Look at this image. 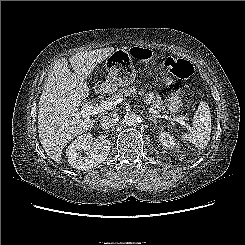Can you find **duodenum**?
<instances>
[{"label":"duodenum","instance_id":"1","mask_svg":"<svg viewBox=\"0 0 245 245\" xmlns=\"http://www.w3.org/2000/svg\"><path fill=\"white\" fill-rule=\"evenodd\" d=\"M96 91H97V92H101V91H102V87H97V88H96Z\"/></svg>","mask_w":245,"mask_h":245}]
</instances>
